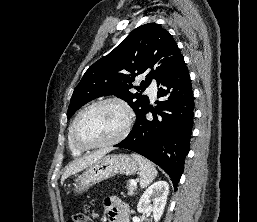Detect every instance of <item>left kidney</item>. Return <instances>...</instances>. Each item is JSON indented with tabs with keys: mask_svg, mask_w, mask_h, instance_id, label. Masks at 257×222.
Segmentation results:
<instances>
[{
	"mask_svg": "<svg viewBox=\"0 0 257 222\" xmlns=\"http://www.w3.org/2000/svg\"><path fill=\"white\" fill-rule=\"evenodd\" d=\"M168 193L169 184L166 181L153 183L141 196L137 211L143 214L152 213L154 221L158 222L163 214Z\"/></svg>",
	"mask_w": 257,
	"mask_h": 222,
	"instance_id": "obj_1",
	"label": "left kidney"
}]
</instances>
